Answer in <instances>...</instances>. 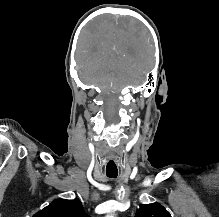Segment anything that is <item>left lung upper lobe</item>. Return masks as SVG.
Returning <instances> with one entry per match:
<instances>
[{
	"mask_svg": "<svg viewBox=\"0 0 219 217\" xmlns=\"http://www.w3.org/2000/svg\"><path fill=\"white\" fill-rule=\"evenodd\" d=\"M135 217H171L170 213L159 203L141 204Z\"/></svg>",
	"mask_w": 219,
	"mask_h": 217,
	"instance_id": "1",
	"label": "left lung upper lobe"
}]
</instances>
